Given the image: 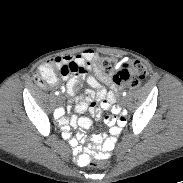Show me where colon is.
I'll return each instance as SVG.
<instances>
[{"label": "colon", "instance_id": "5ec220e1", "mask_svg": "<svg viewBox=\"0 0 183 183\" xmlns=\"http://www.w3.org/2000/svg\"><path fill=\"white\" fill-rule=\"evenodd\" d=\"M98 69L104 75L113 74L112 80L119 87L129 89L138 88L142 81L147 76V67L140 61H119L114 56H102L97 61ZM77 67L74 64L64 65L60 70L61 75H69L77 72ZM56 79V69L46 68L39 70L36 75V80L40 85H50ZM87 167L90 170H95L97 167H104L107 161H96L88 159Z\"/></svg>", "mask_w": 183, "mask_h": 183}]
</instances>
